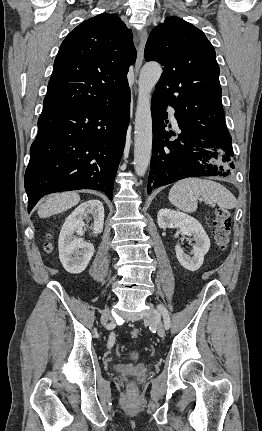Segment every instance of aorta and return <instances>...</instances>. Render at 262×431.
Segmentation results:
<instances>
[{
    "mask_svg": "<svg viewBox=\"0 0 262 431\" xmlns=\"http://www.w3.org/2000/svg\"><path fill=\"white\" fill-rule=\"evenodd\" d=\"M162 68L158 63H146L139 75L138 100L135 113L134 168L138 176H144L151 159L152 116L151 92L159 81Z\"/></svg>",
    "mask_w": 262,
    "mask_h": 431,
    "instance_id": "762f6f07",
    "label": "aorta"
}]
</instances>
